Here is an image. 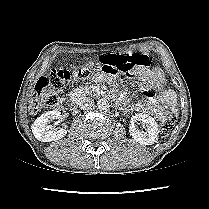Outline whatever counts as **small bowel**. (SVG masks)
I'll return each instance as SVG.
<instances>
[{
    "label": "small bowel",
    "instance_id": "small-bowel-1",
    "mask_svg": "<svg viewBox=\"0 0 209 209\" xmlns=\"http://www.w3.org/2000/svg\"><path fill=\"white\" fill-rule=\"evenodd\" d=\"M136 75L145 83L143 94L145 99L136 102L133 107L140 112L154 114L158 119H162L164 115L176 107V94L173 90L166 88V79L163 71L158 68H149L148 65L138 66ZM97 81H109L108 73H97L94 76ZM116 98L125 102V96L116 91Z\"/></svg>",
    "mask_w": 209,
    "mask_h": 209
}]
</instances>
